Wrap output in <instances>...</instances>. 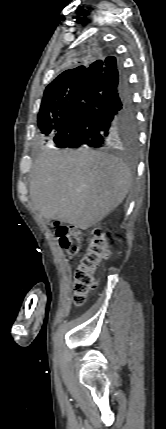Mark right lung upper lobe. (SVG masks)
<instances>
[{"label": "right lung upper lobe", "instance_id": "right-lung-upper-lobe-1", "mask_svg": "<svg viewBox=\"0 0 166 429\" xmlns=\"http://www.w3.org/2000/svg\"><path fill=\"white\" fill-rule=\"evenodd\" d=\"M99 53V50L97 47H90V48H84L82 49L79 54L76 56V61L78 63H84V65L78 66L76 68L73 69H69L64 71L63 73H61L56 79H54L47 87L50 88L51 86H53L54 84L69 78L71 76H75V75H84V73L86 72V69L89 65V63L93 62L97 55ZM79 60V61H78Z\"/></svg>", "mask_w": 166, "mask_h": 429}]
</instances>
